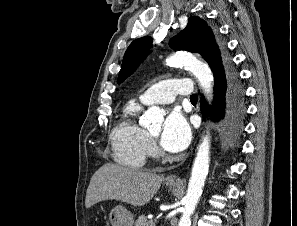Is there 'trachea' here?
<instances>
[{"instance_id": "1", "label": "trachea", "mask_w": 297, "mask_h": 226, "mask_svg": "<svg viewBox=\"0 0 297 226\" xmlns=\"http://www.w3.org/2000/svg\"><path fill=\"white\" fill-rule=\"evenodd\" d=\"M198 100V98H197V95L196 94H193L192 96H191V98H190V101L191 102H196Z\"/></svg>"}]
</instances>
